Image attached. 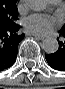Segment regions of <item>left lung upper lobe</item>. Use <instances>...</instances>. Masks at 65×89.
Returning <instances> with one entry per match:
<instances>
[{
    "mask_svg": "<svg viewBox=\"0 0 65 89\" xmlns=\"http://www.w3.org/2000/svg\"><path fill=\"white\" fill-rule=\"evenodd\" d=\"M61 30H64L65 31V25L63 26V28Z\"/></svg>",
    "mask_w": 65,
    "mask_h": 89,
    "instance_id": "1",
    "label": "left lung upper lobe"
}]
</instances>
